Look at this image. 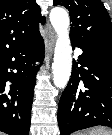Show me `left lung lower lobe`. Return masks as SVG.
<instances>
[{
	"label": "left lung lower lobe",
	"instance_id": "0a47b994",
	"mask_svg": "<svg viewBox=\"0 0 112 135\" xmlns=\"http://www.w3.org/2000/svg\"><path fill=\"white\" fill-rule=\"evenodd\" d=\"M71 43L83 53L59 102L60 133L97 125L112 128V51Z\"/></svg>",
	"mask_w": 112,
	"mask_h": 135
}]
</instances>
